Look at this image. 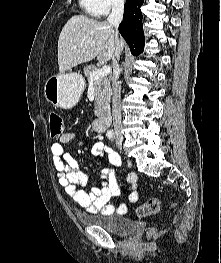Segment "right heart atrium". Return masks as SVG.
Masks as SVG:
<instances>
[{"instance_id":"obj_1","label":"right heart atrium","mask_w":221,"mask_h":263,"mask_svg":"<svg viewBox=\"0 0 221 263\" xmlns=\"http://www.w3.org/2000/svg\"><path fill=\"white\" fill-rule=\"evenodd\" d=\"M125 0H94V6L97 15L104 16L110 11L119 9L123 6Z\"/></svg>"}]
</instances>
